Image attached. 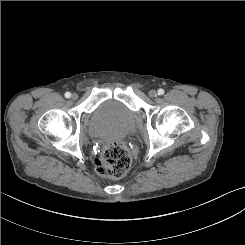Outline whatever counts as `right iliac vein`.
Returning a JSON list of instances; mask_svg holds the SVG:
<instances>
[{"instance_id":"obj_1","label":"right iliac vein","mask_w":245,"mask_h":245,"mask_svg":"<svg viewBox=\"0 0 245 245\" xmlns=\"http://www.w3.org/2000/svg\"><path fill=\"white\" fill-rule=\"evenodd\" d=\"M77 98H78V95H77L76 93H73V94L71 95V99H72V100H77Z\"/></svg>"}]
</instances>
